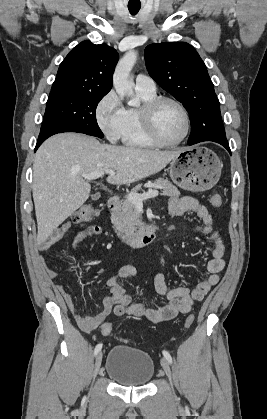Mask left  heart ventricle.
<instances>
[{
  "instance_id": "left-heart-ventricle-1",
  "label": "left heart ventricle",
  "mask_w": 267,
  "mask_h": 419,
  "mask_svg": "<svg viewBox=\"0 0 267 419\" xmlns=\"http://www.w3.org/2000/svg\"><path fill=\"white\" fill-rule=\"evenodd\" d=\"M155 125L160 137L170 142L178 140L185 128L182 112L176 105L169 102L163 103L158 108Z\"/></svg>"
}]
</instances>
